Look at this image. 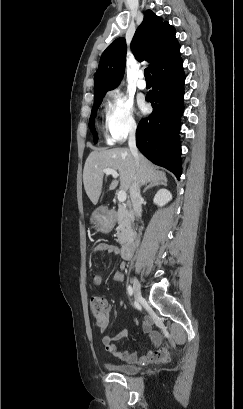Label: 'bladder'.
Masks as SVG:
<instances>
[{"label": "bladder", "instance_id": "bladder-1", "mask_svg": "<svg viewBox=\"0 0 243 409\" xmlns=\"http://www.w3.org/2000/svg\"><path fill=\"white\" fill-rule=\"evenodd\" d=\"M107 368L115 373L122 375H136L139 373L140 368L138 365H130L125 363H112L108 364Z\"/></svg>", "mask_w": 243, "mask_h": 409}]
</instances>
